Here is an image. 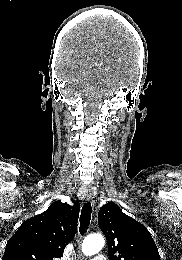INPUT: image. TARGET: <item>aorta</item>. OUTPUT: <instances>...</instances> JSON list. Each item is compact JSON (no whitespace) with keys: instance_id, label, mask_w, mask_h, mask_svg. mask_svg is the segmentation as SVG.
I'll return each mask as SVG.
<instances>
[{"instance_id":"1","label":"aorta","mask_w":182,"mask_h":260,"mask_svg":"<svg viewBox=\"0 0 182 260\" xmlns=\"http://www.w3.org/2000/svg\"><path fill=\"white\" fill-rule=\"evenodd\" d=\"M105 244V239L101 234L87 236L82 243V252L86 256H92L98 253Z\"/></svg>"}]
</instances>
